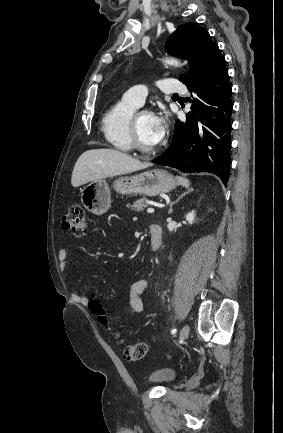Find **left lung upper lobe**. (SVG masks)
<instances>
[{
    "mask_svg": "<svg viewBox=\"0 0 283 433\" xmlns=\"http://www.w3.org/2000/svg\"><path fill=\"white\" fill-rule=\"evenodd\" d=\"M214 44L216 43L211 40L209 33L196 23L177 27L168 38L165 48L169 54L185 58L189 62L190 71L179 78L181 82L186 81L196 61Z\"/></svg>",
    "mask_w": 283,
    "mask_h": 433,
    "instance_id": "5c2ea615",
    "label": "left lung upper lobe"
}]
</instances>
